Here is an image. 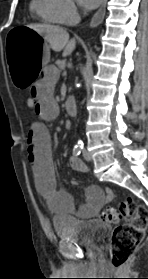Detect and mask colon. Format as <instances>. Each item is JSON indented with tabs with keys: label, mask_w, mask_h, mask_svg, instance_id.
<instances>
[{
	"label": "colon",
	"mask_w": 148,
	"mask_h": 279,
	"mask_svg": "<svg viewBox=\"0 0 148 279\" xmlns=\"http://www.w3.org/2000/svg\"><path fill=\"white\" fill-rule=\"evenodd\" d=\"M26 106L35 109L37 100L33 95L26 99ZM101 218L116 227L111 237V261L115 267L126 264L143 240L148 227V210L133 199L122 201L117 208H108Z\"/></svg>",
	"instance_id": "1"
}]
</instances>
